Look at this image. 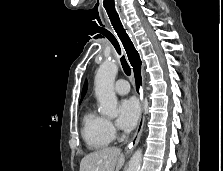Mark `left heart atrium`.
<instances>
[{"label": "left heart atrium", "instance_id": "39dd6f15", "mask_svg": "<svg viewBox=\"0 0 223 171\" xmlns=\"http://www.w3.org/2000/svg\"><path fill=\"white\" fill-rule=\"evenodd\" d=\"M140 106L137 99L130 97L122 99L118 106L117 125L124 130L132 129L139 118Z\"/></svg>", "mask_w": 223, "mask_h": 171}]
</instances>
